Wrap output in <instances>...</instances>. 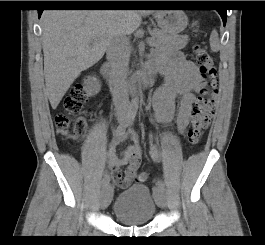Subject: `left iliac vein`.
Returning a JSON list of instances; mask_svg holds the SVG:
<instances>
[{
    "instance_id": "1",
    "label": "left iliac vein",
    "mask_w": 265,
    "mask_h": 245,
    "mask_svg": "<svg viewBox=\"0 0 265 245\" xmlns=\"http://www.w3.org/2000/svg\"><path fill=\"white\" fill-rule=\"evenodd\" d=\"M157 205L161 208H165L167 205L166 196L164 190H160L154 195Z\"/></svg>"
}]
</instances>
